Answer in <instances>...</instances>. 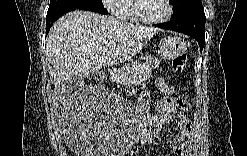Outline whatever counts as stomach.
Listing matches in <instances>:
<instances>
[{
  "mask_svg": "<svg viewBox=\"0 0 247 156\" xmlns=\"http://www.w3.org/2000/svg\"><path fill=\"white\" fill-rule=\"evenodd\" d=\"M187 48L186 41L179 36H169L160 41L158 57L151 55L145 57V63L152 69L158 67L162 60L176 58L185 52Z\"/></svg>",
  "mask_w": 247,
  "mask_h": 156,
  "instance_id": "0dacf381",
  "label": "stomach"
}]
</instances>
